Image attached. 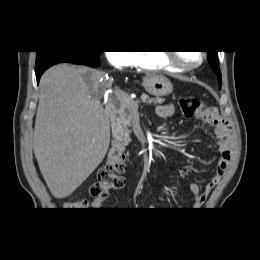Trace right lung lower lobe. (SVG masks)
Instances as JSON below:
<instances>
[{"mask_svg": "<svg viewBox=\"0 0 260 260\" xmlns=\"http://www.w3.org/2000/svg\"><path fill=\"white\" fill-rule=\"evenodd\" d=\"M73 63V64H78V65H86L90 67H97L99 66V59H95L92 57H87V56H77V55H72V54H63V55H58L50 60L46 61L45 63L41 64L39 67H36V79L37 83L39 82V79L43 72L51 67L52 65L58 64V63Z\"/></svg>", "mask_w": 260, "mask_h": 260, "instance_id": "98d812e1", "label": "right lung lower lobe"}]
</instances>
